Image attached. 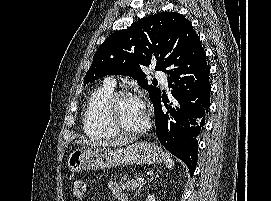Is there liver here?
<instances>
[{
    "instance_id": "obj_1",
    "label": "liver",
    "mask_w": 271,
    "mask_h": 201,
    "mask_svg": "<svg viewBox=\"0 0 271 201\" xmlns=\"http://www.w3.org/2000/svg\"><path fill=\"white\" fill-rule=\"evenodd\" d=\"M134 141L133 138H118L113 140H106V141H96V140H77L75 143L81 144V145H87V146H112V147H118V146H126Z\"/></svg>"
}]
</instances>
